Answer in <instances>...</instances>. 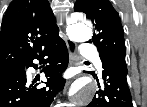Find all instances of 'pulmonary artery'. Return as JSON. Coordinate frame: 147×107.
<instances>
[{
	"label": "pulmonary artery",
	"mask_w": 147,
	"mask_h": 107,
	"mask_svg": "<svg viewBox=\"0 0 147 107\" xmlns=\"http://www.w3.org/2000/svg\"><path fill=\"white\" fill-rule=\"evenodd\" d=\"M80 52H81V54L83 56H87V57L93 58L94 59V63H95L97 68L100 69L102 67V63L99 60V58L97 57L96 49L94 47H92V46H90L88 44H82Z\"/></svg>",
	"instance_id": "e3ab8cb5"
}]
</instances>
